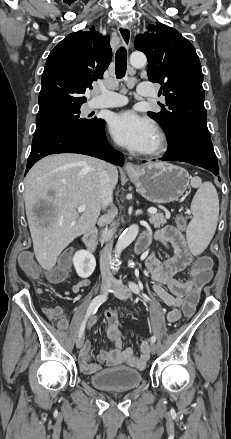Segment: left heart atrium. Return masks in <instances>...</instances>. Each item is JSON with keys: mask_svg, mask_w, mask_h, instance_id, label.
Wrapping results in <instances>:
<instances>
[{"mask_svg": "<svg viewBox=\"0 0 231 439\" xmlns=\"http://www.w3.org/2000/svg\"><path fill=\"white\" fill-rule=\"evenodd\" d=\"M109 129L119 144L138 152L147 151L156 135L153 122L131 110L115 114Z\"/></svg>", "mask_w": 231, "mask_h": 439, "instance_id": "left-heart-atrium-1", "label": "left heart atrium"}]
</instances>
